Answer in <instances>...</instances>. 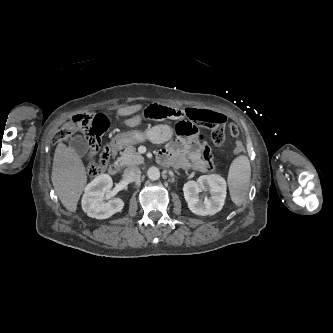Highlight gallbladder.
<instances>
[{
    "instance_id": "gallbladder-1",
    "label": "gallbladder",
    "mask_w": 333,
    "mask_h": 333,
    "mask_svg": "<svg viewBox=\"0 0 333 333\" xmlns=\"http://www.w3.org/2000/svg\"><path fill=\"white\" fill-rule=\"evenodd\" d=\"M73 151L75 153H81V152H85L86 151V148H85V142L83 140V138H77L75 143H74V147H73Z\"/></svg>"
}]
</instances>
